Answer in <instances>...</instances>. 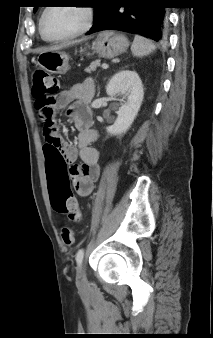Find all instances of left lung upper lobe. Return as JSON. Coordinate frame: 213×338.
Masks as SVG:
<instances>
[{
	"mask_svg": "<svg viewBox=\"0 0 213 338\" xmlns=\"http://www.w3.org/2000/svg\"><path fill=\"white\" fill-rule=\"evenodd\" d=\"M102 0H95L93 3L95 4L94 8H95V12H96V15L98 14L99 12V9H100V5H101V2ZM38 7H34V12L37 10Z\"/></svg>",
	"mask_w": 213,
	"mask_h": 338,
	"instance_id": "1",
	"label": "left lung upper lobe"
}]
</instances>
